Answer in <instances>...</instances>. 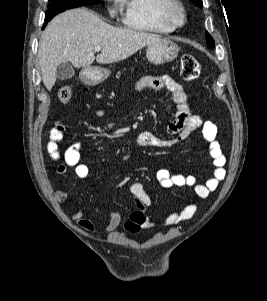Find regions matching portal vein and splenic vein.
Segmentation results:
<instances>
[{
    "instance_id": "portal-vein-and-splenic-vein-1",
    "label": "portal vein and splenic vein",
    "mask_w": 267,
    "mask_h": 301,
    "mask_svg": "<svg viewBox=\"0 0 267 301\" xmlns=\"http://www.w3.org/2000/svg\"><path fill=\"white\" fill-rule=\"evenodd\" d=\"M94 51H96V52L101 51V47H100V46L95 47V48H94Z\"/></svg>"
}]
</instances>
